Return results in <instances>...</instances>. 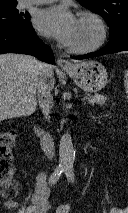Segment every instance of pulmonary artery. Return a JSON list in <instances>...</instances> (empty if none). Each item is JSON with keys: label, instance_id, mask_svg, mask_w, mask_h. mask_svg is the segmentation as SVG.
Listing matches in <instances>:
<instances>
[{"label": "pulmonary artery", "instance_id": "pulmonary-artery-1", "mask_svg": "<svg viewBox=\"0 0 128 213\" xmlns=\"http://www.w3.org/2000/svg\"><path fill=\"white\" fill-rule=\"evenodd\" d=\"M53 1H55V0H24L23 5L24 6L40 5V4L51 3Z\"/></svg>", "mask_w": 128, "mask_h": 213}]
</instances>
